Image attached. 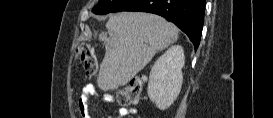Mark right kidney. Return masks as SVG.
<instances>
[{
    "instance_id": "ca27d5eb",
    "label": "right kidney",
    "mask_w": 273,
    "mask_h": 118,
    "mask_svg": "<svg viewBox=\"0 0 273 118\" xmlns=\"http://www.w3.org/2000/svg\"><path fill=\"white\" fill-rule=\"evenodd\" d=\"M185 64L181 46H171L154 63L147 88L152 102L160 109L169 107L178 97L182 82V68Z\"/></svg>"
}]
</instances>
